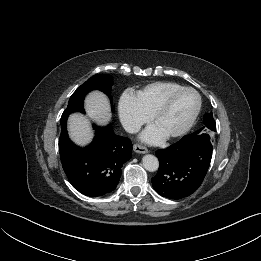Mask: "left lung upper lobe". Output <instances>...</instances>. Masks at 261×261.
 Wrapping results in <instances>:
<instances>
[{
    "instance_id": "left-lung-upper-lobe-1",
    "label": "left lung upper lobe",
    "mask_w": 261,
    "mask_h": 261,
    "mask_svg": "<svg viewBox=\"0 0 261 261\" xmlns=\"http://www.w3.org/2000/svg\"><path fill=\"white\" fill-rule=\"evenodd\" d=\"M203 123L204 126L191 135H203L212 141V132L216 131V123L214 121L212 113L204 115Z\"/></svg>"
}]
</instances>
